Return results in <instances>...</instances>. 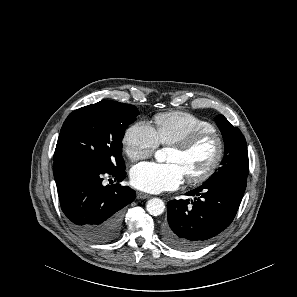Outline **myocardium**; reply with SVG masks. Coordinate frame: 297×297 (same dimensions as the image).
<instances>
[{
	"label": "myocardium",
	"mask_w": 297,
	"mask_h": 297,
	"mask_svg": "<svg viewBox=\"0 0 297 297\" xmlns=\"http://www.w3.org/2000/svg\"><path fill=\"white\" fill-rule=\"evenodd\" d=\"M207 138H214L216 140L218 145L217 154L212 163L203 172L186 177V182L189 184H199L205 182L215 174L225 157V141L222 135L216 130H205L193 133L183 139L175 141L170 145L171 148H177L186 152Z\"/></svg>",
	"instance_id": "1"
}]
</instances>
